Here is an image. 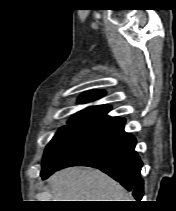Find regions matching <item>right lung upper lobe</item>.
<instances>
[{
  "label": "right lung upper lobe",
  "instance_id": "cb5924a9",
  "mask_svg": "<svg viewBox=\"0 0 176 211\" xmlns=\"http://www.w3.org/2000/svg\"><path fill=\"white\" fill-rule=\"evenodd\" d=\"M105 94L104 91L96 90L89 91L82 94L79 98L80 103H86L90 101H94L99 99ZM110 106L98 105V106H90L86 109L75 114L71 120L83 122V123H94L96 125L104 123L110 119L115 117L107 116L106 114L110 111Z\"/></svg>",
  "mask_w": 176,
  "mask_h": 211
}]
</instances>
